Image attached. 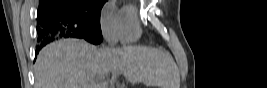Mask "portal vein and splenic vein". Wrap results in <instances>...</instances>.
<instances>
[{"instance_id":"1","label":"portal vein and splenic vein","mask_w":267,"mask_h":88,"mask_svg":"<svg viewBox=\"0 0 267 88\" xmlns=\"http://www.w3.org/2000/svg\"><path fill=\"white\" fill-rule=\"evenodd\" d=\"M117 74H119L117 70L112 71V77L113 78H115L117 76ZM97 78L102 80V79H105L106 76H98Z\"/></svg>"}]
</instances>
